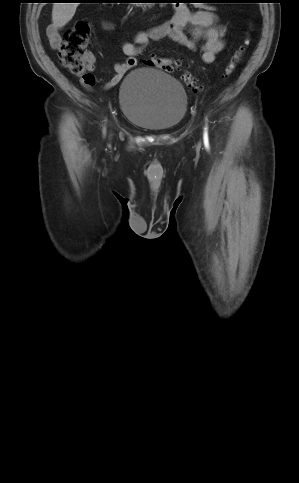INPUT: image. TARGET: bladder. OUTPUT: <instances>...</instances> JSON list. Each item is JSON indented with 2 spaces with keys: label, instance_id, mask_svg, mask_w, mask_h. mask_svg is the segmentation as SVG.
I'll list each match as a JSON object with an SVG mask.
<instances>
[{
  "label": "bladder",
  "instance_id": "bladder-1",
  "mask_svg": "<svg viewBox=\"0 0 299 483\" xmlns=\"http://www.w3.org/2000/svg\"><path fill=\"white\" fill-rule=\"evenodd\" d=\"M118 98L125 119L151 131L175 128L188 108L182 84L149 66L135 68L126 75Z\"/></svg>",
  "mask_w": 299,
  "mask_h": 483
}]
</instances>
